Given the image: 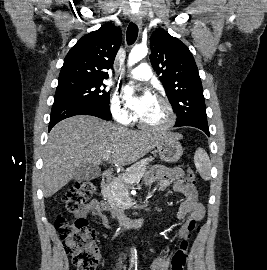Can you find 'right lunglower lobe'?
Segmentation results:
<instances>
[{
  "label": "right lung lower lobe",
  "instance_id": "right-lung-lower-lobe-1",
  "mask_svg": "<svg viewBox=\"0 0 267 270\" xmlns=\"http://www.w3.org/2000/svg\"><path fill=\"white\" fill-rule=\"evenodd\" d=\"M75 115H92L104 120H111L110 107L101 105H78L72 103H54L51 110L49 131L59 121Z\"/></svg>",
  "mask_w": 267,
  "mask_h": 270
}]
</instances>
